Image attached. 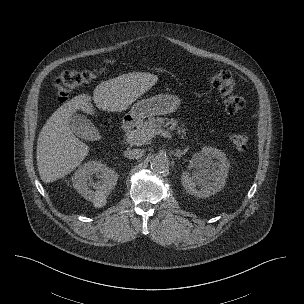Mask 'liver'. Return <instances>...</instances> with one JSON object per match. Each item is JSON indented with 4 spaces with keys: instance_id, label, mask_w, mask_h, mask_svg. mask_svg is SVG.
Segmentation results:
<instances>
[{
    "instance_id": "1",
    "label": "liver",
    "mask_w": 304,
    "mask_h": 304,
    "mask_svg": "<svg viewBox=\"0 0 304 304\" xmlns=\"http://www.w3.org/2000/svg\"><path fill=\"white\" fill-rule=\"evenodd\" d=\"M158 77L151 73L133 72L99 84L93 93L75 96L59 107L42 127L37 140V167L44 183L56 181L72 172L84 160L89 146L79 140L69 126L77 110L93 115L96 107L109 112L126 110L137 98L152 88Z\"/></svg>"
}]
</instances>
